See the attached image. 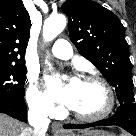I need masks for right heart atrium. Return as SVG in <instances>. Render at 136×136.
Masks as SVG:
<instances>
[{
  "mask_svg": "<svg viewBox=\"0 0 136 136\" xmlns=\"http://www.w3.org/2000/svg\"><path fill=\"white\" fill-rule=\"evenodd\" d=\"M26 102L30 110L44 116H51L56 109L50 98L39 88L36 76L29 75L25 94Z\"/></svg>",
  "mask_w": 136,
  "mask_h": 136,
  "instance_id": "right-heart-atrium-1",
  "label": "right heart atrium"
}]
</instances>
